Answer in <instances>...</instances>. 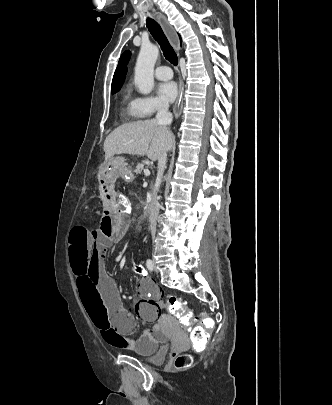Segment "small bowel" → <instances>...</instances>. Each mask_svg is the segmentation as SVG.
<instances>
[{
  "instance_id": "small-bowel-1",
  "label": "small bowel",
  "mask_w": 332,
  "mask_h": 405,
  "mask_svg": "<svg viewBox=\"0 0 332 405\" xmlns=\"http://www.w3.org/2000/svg\"><path fill=\"white\" fill-rule=\"evenodd\" d=\"M102 190V219L99 229L92 230L83 225L72 227L69 239V264L75 276L77 298L84 305L91 325L96 326L102 339L109 345L127 350L148 353L166 344L162 335L160 320L164 308L163 291L150 279L144 278L137 285L138 300L134 311L146 322H152L138 339L128 336L137 328L134 316L124 308L114 280L106 273L104 257L106 252L118 243L129 229V219L118 220L114 204L119 171L116 159H105L99 166ZM144 271L145 268H144ZM139 274V273H138Z\"/></svg>"
}]
</instances>
